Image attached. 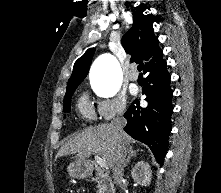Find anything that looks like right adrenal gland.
<instances>
[{
    "mask_svg": "<svg viewBox=\"0 0 221 193\" xmlns=\"http://www.w3.org/2000/svg\"><path fill=\"white\" fill-rule=\"evenodd\" d=\"M138 152H139L138 149L137 150H133L132 146L129 147V151H128L129 155H128L127 159H126L124 167L128 166V164L130 163L131 158L137 156Z\"/></svg>",
    "mask_w": 221,
    "mask_h": 193,
    "instance_id": "2a0ac1e0",
    "label": "right adrenal gland"
}]
</instances>
